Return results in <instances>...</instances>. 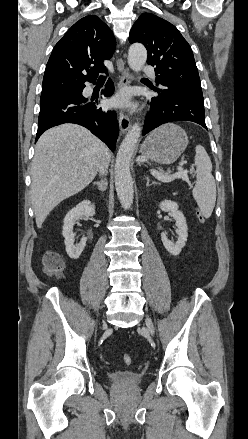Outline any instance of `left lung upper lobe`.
<instances>
[{"mask_svg": "<svg viewBox=\"0 0 248 439\" xmlns=\"http://www.w3.org/2000/svg\"><path fill=\"white\" fill-rule=\"evenodd\" d=\"M129 42L146 47L147 63L155 67L160 85L202 94L192 49L174 25L153 14H141L130 31Z\"/></svg>", "mask_w": 248, "mask_h": 439, "instance_id": "1", "label": "left lung upper lobe"}]
</instances>
